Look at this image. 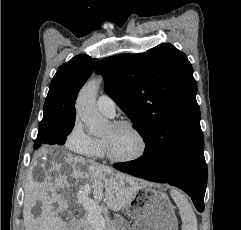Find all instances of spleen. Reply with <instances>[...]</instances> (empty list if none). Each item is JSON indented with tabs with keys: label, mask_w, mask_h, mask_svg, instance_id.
<instances>
[{
	"label": "spleen",
	"mask_w": 241,
	"mask_h": 230,
	"mask_svg": "<svg viewBox=\"0 0 241 230\" xmlns=\"http://www.w3.org/2000/svg\"><path fill=\"white\" fill-rule=\"evenodd\" d=\"M174 199L182 220V230H198L197 219L189 200L178 190L170 191Z\"/></svg>",
	"instance_id": "obj_1"
}]
</instances>
